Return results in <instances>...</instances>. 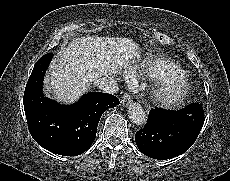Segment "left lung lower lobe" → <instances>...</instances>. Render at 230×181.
<instances>
[{"label": "left lung lower lobe", "mask_w": 230, "mask_h": 181, "mask_svg": "<svg viewBox=\"0 0 230 181\" xmlns=\"http://www.w3.org/2000/svg\"><path fill=\"white\" fill-rule=\"evenodd\" d=\"M204 121L203 109L196 103L177 111L151 109L147 124L135 135L137 147L150 158L176 157L193 145Z\"/></svg>", "instance_id": "1"}]
</instances>
